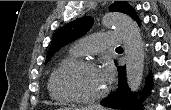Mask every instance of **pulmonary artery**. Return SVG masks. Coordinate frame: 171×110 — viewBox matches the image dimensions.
I'll return each mask as SVG.
<instances>
[{
	"label": "pulmonary artery",
	"mask_w": 171,
	"mask_h": 110,
	"mask_svg": "<svg viewBox=\"0 0 171 110\" xmlns=\"http://www.w3.org/2000/svg\"><path fill=\"white\" fill-rule=\"evenodd\" d=\"M121 35L117 32L98 33L78 40L72 50L77 54L96 53L109 47L119 46Z\"/></svg>",
	"instance_id": "obj_1"
}]
</instances>
